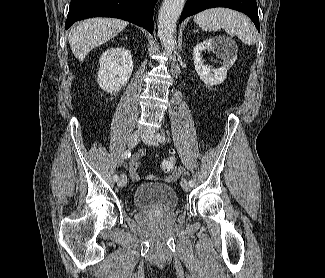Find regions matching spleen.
<instances>
[{"label": "spleen", "mask_w": 325, "mask_h": 278, "mask_svg": "<svg viewBox=\"0 0 325 278\" xmlns=\"http://www.w3.org/2000/svg\"><path fill=\"white\" fill-rule=\"evenodd\" d=\"M194 22L204 31L224 29L229 35L237 36L246 45L256 42V30L247 17L227 8H211L194 16Z\"/></svg>", "instance_id": "obj_1"}]
</instances>
